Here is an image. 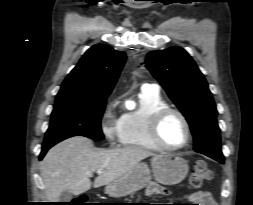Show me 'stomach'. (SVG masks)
<instances>
[{
    "label": "stomach",
    "instance_id": "stomach-1",
    "mask_svg": "<svg viewBox=\"0 0 253 205\" xmlns=\"http://www.w3.org/2000/svg\"><path fill=\"white\" fill-rule=\"evenodd\" d=\"M188 171L185 159L171 154H159L151 159V169L144 162L138 163L128 173L107 184L105 193L115 198L132 194L150 183L151 173L157 182L175 185L184 180Z\"/></svg>",
    "mask_w": 253,
    "mask_h": 205
}]
</instances>
